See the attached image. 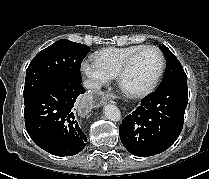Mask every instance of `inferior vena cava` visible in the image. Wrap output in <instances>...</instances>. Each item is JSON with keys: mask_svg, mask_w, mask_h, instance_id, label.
<instances>
[{"mask_svg": "<svg viewBox=\"0 0 209 179\" xmlns=\"http://www.w3.org/2000/svg\"><path fill=\"white\" fill-rule=\"evenodd\" d=\"M84 87L87 89H99V84L97 82H94L92 80H85L83 82Z\"/></svg>", "mask_w": 209, "mask_h": 179, "instance_id": "obj_1", "label": "inferior vena cava"}]
</instances>
